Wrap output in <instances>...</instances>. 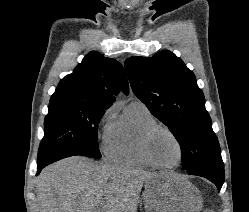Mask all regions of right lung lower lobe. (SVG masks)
<instances>
[{
	"mask_svg": "<svg viewBox=\"0 0 249 212\" xmlns=\"http://www.w3.org/2000/svg\"><path fill=\"white\" fill-rule=\"evenodd\" d=\"M63 158H65V155L57 156V157H47V158L38 159V165H37L38 171H37V175L48 164H51V163H53L55 161H58L60 159H63Z\"/></svg>",
	"mask_w": 249,
	"mask_h": 212,
	"instance_id": "right-lung-lower-lobe-1",
	"label": "right lung lower lobe"
}]
</instances>
